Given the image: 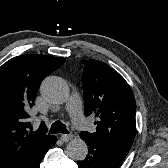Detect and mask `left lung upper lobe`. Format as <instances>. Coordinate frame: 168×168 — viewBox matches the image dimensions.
<instances>
[{
  "label": "left lung upper lobe",
  "instance_id": "left-lung-upper-lobe-1",
  "mask_svg": "<svg viewBox=\"0 0 168 168\" xmlns=\"http://www.w3.org/2000/svg\"><path fill=\"white\" fill-rule=\"evenodd\" d=\"M85 115L99 118L94 133L81 132L128 153L136 135V103L124 78L107 64L83 60Z\"/></svg>",
  "mask_w": 168,
  "mask_h": 168
}]
</instances>
